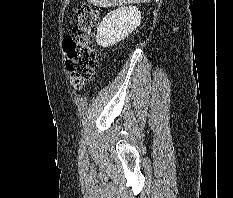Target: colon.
Segmentation results:
<instances>
[{"mask_svg":"<svg viewBox=\"0 0 233 198\" xmlns=\"http://www.w3.org/2000/svg\"><path fill=\"white\" fill-rule=\"evenodd\" d=\"M97 23V11L88 4H80L73 32L64 39L66 66L76 89L86 85L98 67L99 54L92 43Z\"/></svg>","mask_w":233,"mask_h":198,"instance_id":"obj_1","label":"colon"}]
</instances>
